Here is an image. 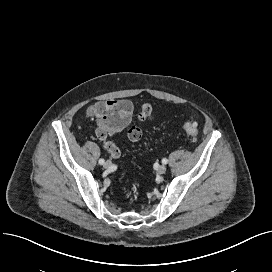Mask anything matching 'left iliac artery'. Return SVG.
<instances>
[{
  "mask_svg": "<svg viewBox=\"0 0 272 272\" xmlns=\"http://www.w3.org/2000/svg\"><path fill=\"white\" fill-rule=\"evenodd\" d=\"M162 163L163 164H167L168 163V160L166 158L162 159Z\"/></svg>",
  "mask_w": 272,
  "mask_h": 272,
  "instance_id": "left-iliac-artery-1",
  "label": "left iliac artery"
}]
</instances>
